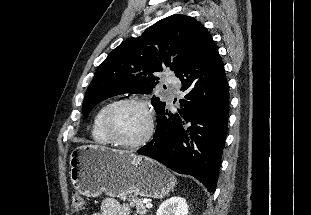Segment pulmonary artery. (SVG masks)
Returning <instances> with one entry per match:
<instances>
[{
	"label": "pulmonary artery",
	"instance_id": "obj_1",
	"mask_svg": "<svg viewBox=\"0 0 311 215\" xmlns=\"http://www.w3.org/2000/svg\"><path fill=\"white\" fill-rule=\"evenodd\" d=\"M165 82L168 83L169 85L173 86L174 92L179 91L180 84L178 83L176 78H174L173 76L167 75L165 77Z\"/></svg>",
	"mask_w": 311,
	"mask_h": 215
}]
</instances>
